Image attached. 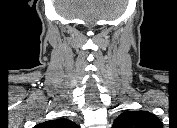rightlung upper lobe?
<instances>
[{
	"mask_svg": "<svg viewBox=\"0 0 177 128\" xmlns=\"http://www.w3.org/2000/svg\"><path fill=\"white\" fill-rule=\"evenodd\" d=\"M36 127L38 128H79L77 124L68 120V119H56V120H49L44 123H40Z\"/></svg>",
	"mask_w": 177,
	"mask_h": 128,
	"instance_id": "right-lung-upper-lobe-1",
	"label": "right lung upper lobe"
}]
</instances>
